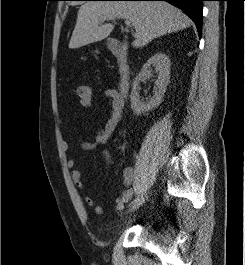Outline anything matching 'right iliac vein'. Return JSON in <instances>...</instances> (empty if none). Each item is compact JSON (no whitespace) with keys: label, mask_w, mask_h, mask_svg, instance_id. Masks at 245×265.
<instances>
[{"label":"right iliac vein","mask_w":245,"mask_h":265,"mask_svg":"<svg viewBox=\"0 0 245 265\" xmlns=\"http://www.w3.org/2000/svg\"><path fill=\"white\" fill-rule=\"evenodd\" d=\"M145 198H146V196H143V195L137 197V198L131 203L129 211H130V212H133V211L137 210V209H138V208L144 203Z\"/></svg>","instance_id":"63e3f726"}]
</instances>
